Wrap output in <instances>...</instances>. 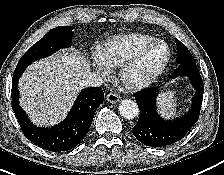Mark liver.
Listing matches in <instances>:
<instances>
[{
	"instance_id": "liver-1",
	"label": "liver",
	"mask_w": 224,
	"mask_h": 175,
	"mask_svg": "<svg viewBox=\"0 0 224 175\" xmlns=\"http://www.w3.org/2000/svg\"><path fill=\"white\" fill-rule=\"evenodd\" d=\"M90 73L89 63L75 50L30 65L19 80L20 105L37 126L63 120Z\"/></svg>"
}]
</instances>
